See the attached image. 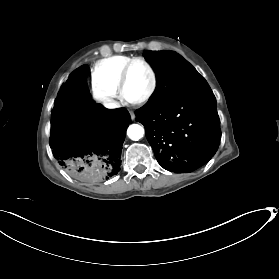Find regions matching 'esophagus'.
<instances>
[{"instance_id": "esophagus-1", "label": "esophagus", "mask_w": 279, "mask_h": 279, "mask_svg": "<svg viewBox=\"0 0 279 279\" xmlns=\"http://www.w3.org/2000/svg\"><path fill=\"white\" fill-rule=\"evenodd\" d=\"M130 115H131V118L134 119L135 118V115L132 111H130Z\"/></svg>"}]
</instances>
